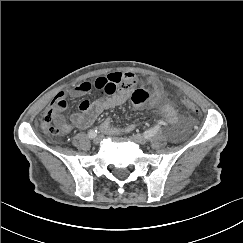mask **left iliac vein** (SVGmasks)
I'll return each mask as SVG.
<instances>
[{
  "instance_id": "left-iliac-vein-1",
  "label": "left iliac vein",
  "mask_w": 243,
  "mask_h": 243,
  "mask_svg": "<svg viewBox=\"0 0 243 243\" xmlns=\"http://www.w3.org/2000/svg\"><path fill=\"white\" fill-rule=\"evenodd\" d=\"M132 139L139 145H145L147 143V139L140 134H133Z\"/></svg>"
}]
</instances>
